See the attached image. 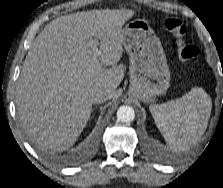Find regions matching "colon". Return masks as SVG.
Listing matches in <instances>:
<instances>
[{
  "label": "colon",
  "instance_id": "obj_1",
  "mask_svg": "<svg viewBox=\"0 0 223 188\" xmlns=\"http://www.w3.org/2000/svg\"><path fill=\"white\" fill-rule=\"evenodd\" d=\"M164 29L174 37L180 59L184 63L195 61L199 49L186 41V28L183 22L177 18H168L164 21Z\"/></svg>",
  "mask_w": 223,
  "mask_h": 188
}]
</instances>
